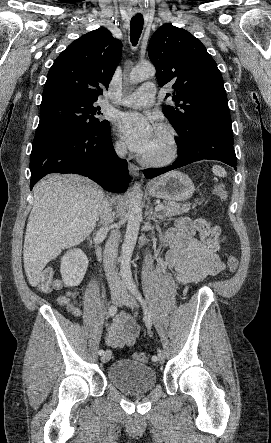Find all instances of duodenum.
Returning a JSON list of instances; mask_svg holds the SVG:
<instances>
[{
    "label": "duodenum",
    "mask_w": 271,
    "mask_h": 443,
    "mask_svg": "<svg viewBox=\"0 0 271 443\" xmlns=\"http://www.w3.org/2000/svg\"><path fill=\"white\" fill-rule=\"evenodd\" d=\"M97 253L99 258L104 262L105 266L108 267L111 264L114 255V249L111 244L106 247H98Z\"/></svg>",
    "instance_id": "duodenum-1"
}]
</instances>
